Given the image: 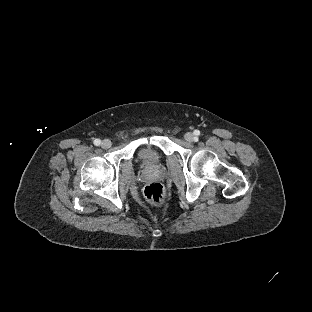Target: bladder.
Instances as JSON below:
<instances>
[{"mask_svg": "<svg viewBox=\"0 0 312 312\" xmlns=\"http://www.w3.org/2000/svg\"><path fill=\"white\" fill-rule=\"evenodd\" d=\"M148 152H150V150H148V149H142L141 152H140V156H144L145 153H148Z\"/></svg>", "mask_w": 312, "mask_h": 312, "instance_id": "31cf9c89", "label": "bladder"}]
</instances>
